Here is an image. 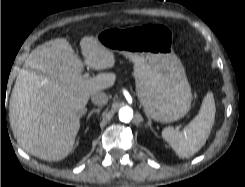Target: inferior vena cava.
<instances>
[{
  "instance_id": "1",
  "label": "inferior vena cava",
  "mask_w": 245,
  "mask_h": 187,
  "mask_svg": "<svg viewBox=\"0 0 245 187\" xmlns=\"http://www.w3.org/2000/svg\"><path fill=\"white\" fill-rule=\"evenodd\" d=\"M91 101L94 105L104 106L108 102V96L104 92H97L91 95Z\"/></svg>"
}]
</instances>
